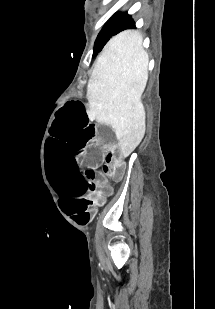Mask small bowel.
Segmentation results:
<instances>
[{
  "mask_svg": "<svg viewBox=\"0 0 215 309\" xmlns=\"http://www.w3.org/2000/svg\"><path fill=\"white\" fill-rule=\"evenodd\" d=\"M97 187L95 202L97 205H101L104 203L105 198L112 193V189L102 180L97 181Z\"/></svg>",
  "mask_w": 215,
  "mask_h": 309,
  "instance_id": "c3829d8e",
  "label": "small bowel"
}]
</instances>
